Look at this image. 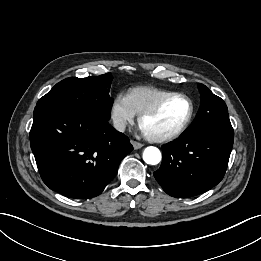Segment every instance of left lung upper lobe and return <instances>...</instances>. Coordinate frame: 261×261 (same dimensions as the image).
<instances>
[{
    "mask_svg": "<svg viewBox=\"0 0 261 261\" xmlns=\"http://www.w3.org/2000/svg\"><path fill=\"white\" fill-rule=\"evenodd\" d=\"M201 105L195 120L184 133L231 126L225 102L214 95L205 85L198 84Z\"/></svg>",
    "mask_w": 261,
    "mask_h": 261,
    "instance_id": "5c2ea615",
    "label": "left lung upper lobe"
}]
</instances>
